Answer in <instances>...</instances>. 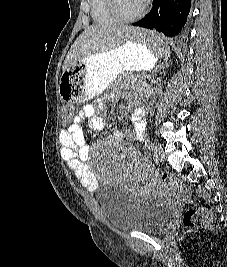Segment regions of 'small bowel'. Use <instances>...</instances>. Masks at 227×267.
Returning a JSON list of instances; mask_svg holds the SVG:
<instances>
[{"label": "small bowel", "mask_w": 227, "mask_h": 267, "mask_svg": "<svg viewBox=\"0 0 227 267\" xmlns=\"http://www.w3.org/2000/svg\"><path fill=\"white\" fill-rule=\"evenodd\" d=\"M103 110L104 104L102 102L83 105L76 113V118L71 119V125L59 133L62 158L80 183L90 192L97 189L99 181L95 173L84 162L88 158L89 147L82 131V124L88 120L94 130H101L104 127V119L100 115ZM130 124L133 138L141 141L146 125L142 110L133 112ZM115 136L122 138L124 135L123 132H117Z\"/></svg>", "instance_id": "c3829d8e"}]
</instances>
